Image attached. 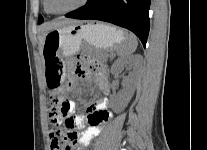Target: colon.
Listing matches in <instances>:
<instances>
[{
    "instance_id": "5ec220e1",
    "label": "colon",
    "mask_w": 207,
    "mask_h": 150,
    "mask_svg": "<svg viewBox=\"0 0 207 150\" xmlns=\"http://www.w3.org/2000/svg\"><path fill=\"white\" fill-rule=\"evenodd\" d=\"M58 94L50 96L49 122L54 127L49 132L51 150H76L78 134L72 129L67 108L71 103Z\"/></svg>"
}]
</instances>
